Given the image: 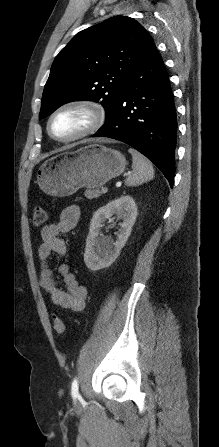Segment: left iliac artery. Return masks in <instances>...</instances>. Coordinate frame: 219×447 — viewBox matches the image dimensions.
Returning <instances> with one entry per match:
<instances>
[{
  "label": "left iliac artery",
  "mask_w": 219,
  "mask_h": 447,
  "mask_svg": "<svg viewBox=\"0 0 219 447\" xmlns=\"http://www.w3.org/2000/svg\"><path fill=\"white\" fill-rule=\"evenodd\" d=\"M71 394L72 397L74 399H76L77 397H79V391H78V380L77 378H74L73 382H72V386H71Z\"/></svg>",
  "instance_id": "obj_1"
}]
</instances>
